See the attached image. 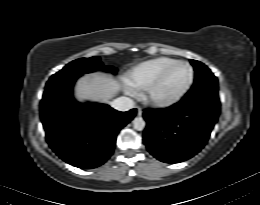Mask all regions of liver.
Segmentation results:
<instances>
[{
	"instance_id": "6515ba94",
	"label": "liver",
	"mask_w": 260,
	"mask_h": 205,
	"mask_svg": "<svg viewBox=\"0 0 260 205\" xmlns=\"http://www.w3.org/2000/svg\"><path fill=\"white\" fill-rule=\"evenodd\" d=\"M121 89L118 80L106 74H91L80 78L73 96L79 102L96 101L108 103Z\"/></svg>"
}]
</instances>
